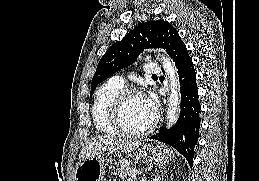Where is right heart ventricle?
<instances>
[{
    "label": "right heart ventricle",
    "instance_id": "right-heart-ventricle-1",
    "mask_svg": "<svg viewBox=\"0 0 259 181\" xmlns=\"http://www.w3.org/2000/svg\"><path fill=\"white\" fill-rule=\"evenodd\" d=\"M123 87L114 84L111 80L98 87L92 108L91 116L98 132L102 134H117L118 130L113 124L111 108L116 96Z\"/></svg>",
    "mask_w": 259,
    "mask_h": 181
}]
</instances>
